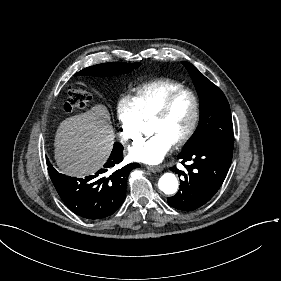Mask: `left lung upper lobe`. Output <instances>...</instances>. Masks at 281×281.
Instances as JSON below:
<instances>
[{"label": "left lung upper lobe", "mask_w": 281, "mask_h": 281, "mask_svg": "<svg viewBox=\"0 0 281 281\" xmlns=\"http://www.w3.org/2000/svg\"><path fill=\"white\" fill-rule=\"evenodd\" d=\"M182 64L193 80L200 101L198 127L183 150L203 143L233 150L232 118L224 93L192 64L185 61Z\"/></svg>", "instance_id": "obj_1"}]
</instances>
